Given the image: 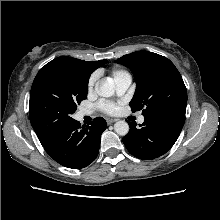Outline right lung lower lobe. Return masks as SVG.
Returning <instances> with one entry per match:
<instances>
[{
  "instance_id": "obj_1",
  "label": "right lung lower lobe",
  "mask_w": 220,
  "mask_h": 220,
  "mask_svg": "<svg viewBox=\"0 0 220 220\" xmlns=\"http://www.w3.org/2000/svg\"><path fill=\"white\" fill-rule=\"evenodd\" d=\"M90 125L81 127L74 120L41 144L59 164L72 169L84 168L96 159L101 134L107 126L102 117L95 118Z\"/></svg>"
}]
</instances>
